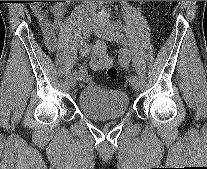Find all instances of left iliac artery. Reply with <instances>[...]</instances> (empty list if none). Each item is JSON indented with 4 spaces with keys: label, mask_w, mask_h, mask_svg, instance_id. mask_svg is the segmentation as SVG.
<instances>
[{
    "label": "left iliac artery",
    "mask_w": 207,
    "mask_h": 169,
    "mask_svg": "<svg viewBox=\"0 0 207 169\" xmlns=\"http://www.w3.org/2000/svg\"><path fill=\"white\" fill-rule=\"evenodd\" d=\"M114 27L117 29V30H121V26L118 25V24H114ZM123 36V35H122ZM127 54H130L129 53V46H124V49H121V53H119V64H121V68H128V64H129V59H128V56ZM137 79V76L136 75H132L130 76L129 78V82L130 81H133Z\"/></svg>",
    "instance_id": "obj_1"
}]
</instances>
